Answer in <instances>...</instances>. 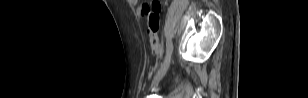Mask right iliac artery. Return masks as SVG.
Listing matches in <instances>:
<instances>
[{
    "instance_id": "82829eb1",
    "label": "right iliac artery",
    "mask_w": 308,
    "mask_h": 98,
    "mask_svg": "<svg viewBox=\"0 0 308 98\" xmlns=\"http://www.w3.org/2000/svg\"><path fill=\"white\" fill-rule=\"evenodd\" d=\"M172 50H173V45H172L171 40L168 38L166 40V51H167V53H171Z\"/></svg>"
}]
</instances>
